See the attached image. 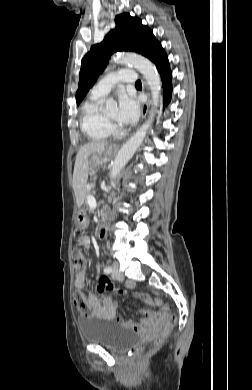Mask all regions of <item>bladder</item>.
I'll use <instances>...</instances> for the list:
<instances>
[{"label": "bladder", "instance_id": "31cf9c89", "mask_svg": "<svg viewBox=\"0 0 252 390\" xmlns=\"http://www.w3.org/2000/svg\"><path fill=\"white\" fill-rule=\"evenodd\" d=\"M79 328L85 342L124 352L140 342L131 330L97 316L79 319Z\"/></svg>", "mask_w": 252, "mask_h": 390}]
</instances>
